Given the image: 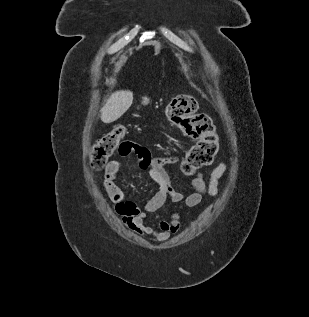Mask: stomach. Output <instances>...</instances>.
I'll use <instances>...</instances> for the list:
<instances>
[{
	"mask_svg": "<svg viewBox=\"0 0 309 317\" xmlns=\"http://www.w3.org/2000/svg\"><path fill=\"white\" fill-rule=\"evenodd\" d=\"M149 102H150V99H149V98H147V97H143V98H142V104H143V105H148Z\"/></svg>",
	"mask_w": 309,
	"mask_h": 317,
	"instance_id": "stomach-1",
	"label": "stomach"
}]
</instances>
